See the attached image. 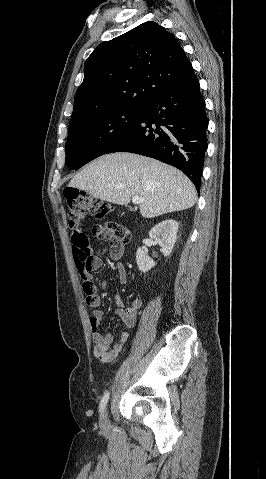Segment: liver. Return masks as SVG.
<instances>
[{"instance_id":"1","label":"liver","mask_w":266,"mask_h":479,"mask_svg":"<svg viewBox=\"0 0 266 479\" xmlns=\"http://www.w3.org/2000/svg\"><path fill=\"white\" fill-rule=\"evenodd\" d=\"M71 188L89 192L96 198L127 205L139 196L140 214L154 218L191 208L196 189L178 169L158 160L127 152L103 155L75 175Z\"/></svg>"}]
</instances>
